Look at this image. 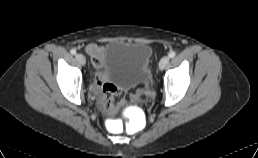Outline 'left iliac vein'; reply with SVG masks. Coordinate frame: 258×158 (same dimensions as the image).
Returning a JSON list of instances; mask_svg holds the SVG:
<instances>
[{"label": "left iliac vein", "mask_w": 258, "mask_h": 158, "mask_svg": "<svg viewBox=\"0 0 258 158\" xmlns=\"http://www.w3.org/2000/svg\"><path fill=\"white\" fill-rule=\"evenodd\" d=\"M169 63V57L163 56L159 62V69L163 70Z\"/></svg>", "instance_id": "4c4485c4"}]
</instances>
